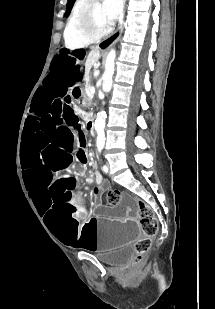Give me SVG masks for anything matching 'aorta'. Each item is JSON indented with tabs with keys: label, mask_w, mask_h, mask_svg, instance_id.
Returning <instances> with one entry per match:
<instances>
[{
	"label": "aorta",
	"mask_w": 215,
	"mask_h": 309,
	"mask_svg": "<svg viewBox=\"0 0 215 309\" xmlns=\"http://www.w3.org/2000/svg\"><path fill=\"white\" fill-rule=\"evenodd\" d=\"M115 56H116V50L115 48H111L110 52L107 54L106 62H105V72L102 74L103 82H102V88L103 90H111L112 88V82H113V74L115 70ZM107 114L105 110H100V112H97V118H96V132H97V148H103L105 144V118Z\"/></svg>",
	"instance_id": "obj_1"
}]
</instances>
